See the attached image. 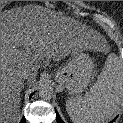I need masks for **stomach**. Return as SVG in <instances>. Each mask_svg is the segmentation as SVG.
<instances>
[{
  "label": "stomach",
  "mask_w": 123,
  "mask_h": 123,
  "mask_svg": "<svg viewBox=\"0 0 123 123\" xmlns=\"http://www.w3.org/2000/svg\"><path fill=\"white\" fill-rule=\"evenodd\" d=\"M76 31L83 30L79 25H73ZM87 31V29H84ZM85 50L77 49L71 53V59L66 66L54 74L55 80L64 85L70 95L80 94L88 86L93 76L94 64Z\"/></svg>",
  "instance_id": "0dacf381"
}]
</instances>
